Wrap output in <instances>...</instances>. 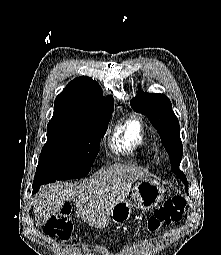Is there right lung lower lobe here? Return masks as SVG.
I'll return each instance as SVG.
<instances>
[{
  "label": "right lung lower lobe",
  "mask_w": 221,
  "mask_h": 255,
  "mask_svg": "<svg viewBox=\"0 0 221 255\" xmlns=\"http://www.w3.org/2000/svg\"><path fill=\"white\" fill-rule=\"evenodd\" d=\"M41 185H43V183L33 182V193H36L39 190V188L41 187Z\"/></svg>",
  "instance_id": "right-lung-lower-lobe-1"
}]
</instances>
